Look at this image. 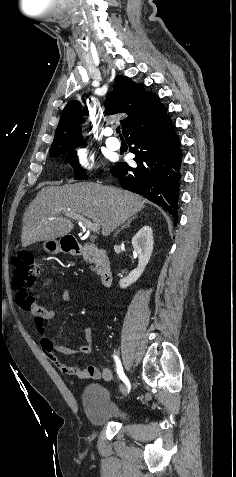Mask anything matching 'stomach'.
<instances>
[{"instance_id":"obj_1","label":"stomach","mask_w":236,"mask_h":477,"mask_svg":"<svg viewBox=\"0 0 236 477\" xmlns=\"http://www.w3.org/2000/svg\"><path fill=\"white\" fill-rule=\"evenodd\" d=\"M43 249L50 253L56 254L58 252L65 251V248L62 246L61 240H47L43 243Z\"/></svg>"}]
</instances>
